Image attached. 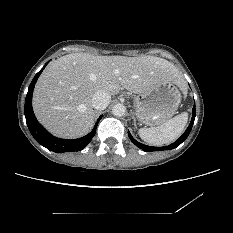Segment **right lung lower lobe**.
I'll list each match as a JSON object with an SVG mask.
<instances>
[{"instance_id":"right-lung-lower-lobe-1","label":"right lung lower lobe","mask_w":233,"mask_h":233,"mask_svg":"<svg viewBox=\"0 0 233 233\" xmlns=\"http://www.w3.org/2000/svg\"><path fill=\"white\" fill-rule=\"evenodd\" d=\"M47 64H45L44 67L35 75L28 89L24 109L28 129L39 144L53 152L62 153L80 151L92 140L93 136L95 135L98 122L101 119V116L97 120L93 130L86 136L81 137L79 139L67 140L57 138L49 134L46 131V129L43 128V126L37 121L32 108V94L34 86Z\"/></svg>"}]
</instances>
